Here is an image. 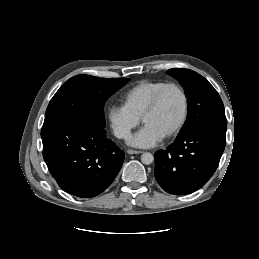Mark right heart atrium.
<instances>
[{
  "instance_id": "1",
  "label": "right heart atrium",
  "mask_w": 259,
  "mask_h": 259,
  "mask_svg": "<svg viewBox=\"0 0 259 259\" xmlns=\"http://www.w3.org/2000/svg\"><path fill=\"white\" fill-rule=\"evenodd\" d=\"M107 118L114 135L126 140L140 122V119L130 113L123 105H113L108 109Z\"/></svg>"
}]
</instances>
